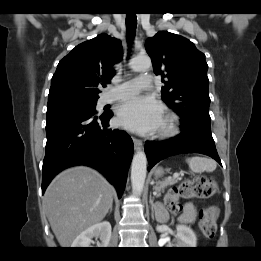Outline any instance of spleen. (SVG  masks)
I'll list each match as a JSON object with an SVG mask.
<instances>
[{
	"instance_id": "1",
	"label": "spleen",
	"mask_w": 261,
	"mask_h": 261,
	"mask_svg": "<svg viewBox=\"0 0 261 261\" xmlns=\"http://www.w3.org/2000/svg\"><path fill=\"white\" fill-rule=\"evenodd\" d=\"M189 168L192 172L202 173V172H213L216 169V162L211 158L193 156L186 159Z\"/></svg>"
}]
</instances>
